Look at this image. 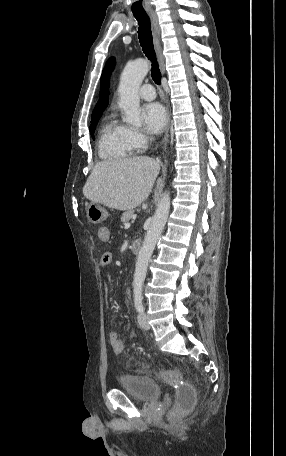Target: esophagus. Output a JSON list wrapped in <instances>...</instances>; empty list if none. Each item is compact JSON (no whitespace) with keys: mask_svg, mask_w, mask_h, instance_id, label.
<instances>
[{"mask_svg":"<svg viewBox=\"0 0 286 456\" xmlns=\"http://www.w3.org/2000/svg\"><path fill=\"white\" fill-rule=\"evenodd\" d=\"M148 15L151 20V26H152V33H153V40H154V48L158 57L159 65H160V70L162 75L165 74V59L164 55L162 52V45H161V39H160V25L158 21V17L154 11H149ZM165 105H166V115H167V124H166V129H165V135L163 139V143L166 146L169 140V128H170V107L168 102L164 99Z\"/></svg>","mask_w":286,"mask_h":456,"instance_id":"1","label":"esophagus"}]
</instances>
